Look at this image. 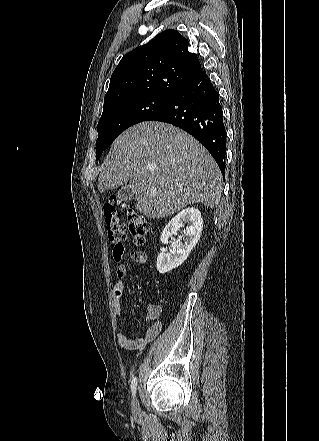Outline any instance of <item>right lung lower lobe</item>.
I'll return each mask as SVG.
<instances>
[{
  "mask_svg": "<svg viewBox=\"0 0 319 441\" xmlns=\"http://www.w3.org/2000/svg\"><path fill=\"white\" fill-rule=\"evenodd\" d=\"M148 120L175 125L194 136L225 172L226 131L219 94L205 71L183 84Z\"/></svg>",
  "mask_w": 319,
  "mask_h": 441,
  "instance_id": "1",
  "label": "right lung lower lobe"
}]
</instances>
